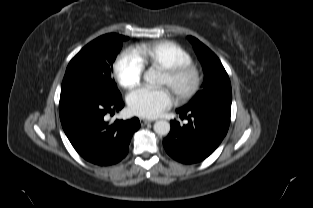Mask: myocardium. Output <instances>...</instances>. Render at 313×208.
I'll use <instances>...</instances> for the list:
<instances>
[{
  "label": "myocardium",
  "mask_w": 313,
  "mask_h": 208,
  "mask_svg": "<svg viewBox=\"0 0 313 208\" xmlns=\"http://www.w3.org/2000/svg\"><path fill=\"white\" fill-rule=\"evenodd\" d=\"M167 77V85L173 91L178 101H188L199 91L202 84L200 69L186 63L163 70Z\"/></svg>",
  "instance_id": "obj_1"
}]
</instances>
